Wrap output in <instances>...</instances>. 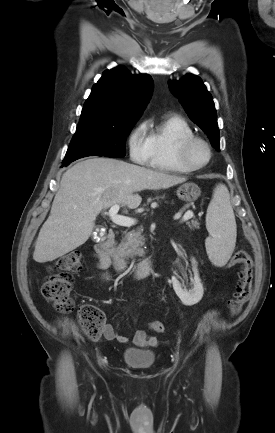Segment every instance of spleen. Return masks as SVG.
<instances>
[{"label":"spleen","instance_id":"obj_1","mask_svg":"<svg viewBox=\"0 0 275 433\" xmlns=\"http://www.w3.org/2000/svg\"><path fill=\"white\" fill-rule=\"evenodd\" d=\"M209 237L205 241L211 262L224 266L230 259L236 243L237 229L228 189L219 184L213 192L206 214Z\"/></svg>","mask_w":275,"mask_h":433}]
</instances>
